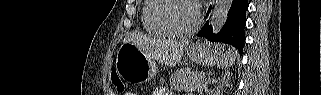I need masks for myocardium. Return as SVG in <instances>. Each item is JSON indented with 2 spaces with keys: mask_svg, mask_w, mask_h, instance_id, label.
<instances>
[{
  "mask_svg": "<svg viewBox=\"0 0 321 95\" xmlns=\"http://www.w3.org/2000/svg\"><path fill=\"white\" fill-rule=\"evenodd\" d=\"M175 1H184L190 4L195 12V23L194 25L188 29V30H178L171 26L167 21L162 16V12L165 8L168 7V5L171 2ZM152 18L154 22L156 23L157 26H159L161 29H163L167 34L172 35V36H178V37H186L194 34L201 25L202 19H201V14L200 10L197 6V4L192 1V0H157V5L153 7L152 10Z\"/></svg>",
  "mask_w": 321,
  "mask_h": 95,
  "instance_id": "myocardium-1",
  "label": "myocardium"
}]
</instances>
